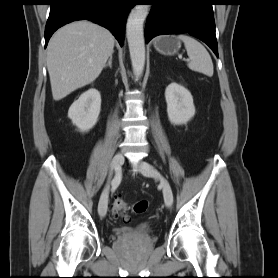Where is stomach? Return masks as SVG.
I'll return each instance as SVG.
<instances>
[{"label": "stomach", "instance_id": "obj_1", "mask_svg": "<svg viewBox=\"0 0 278 278\" xmlns=\"http://www.w3.org/2000/svg\"><path fill=\"white\" fill-rule=\"evenodd\" d=\"M155 49L163 55H174L181 47V43L175 35L158 37L154 41Z\"/></svg>", "mask_w": 278, "mask_h": 278}]
</instances>
